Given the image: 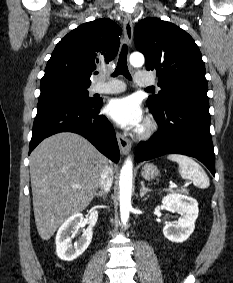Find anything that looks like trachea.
<instances>
[{"mask_svg": "<svg viewBox=\"0 0 233 283\" xmlns=\"http://www.w3.org/2000/svg\"><path fill=\"white\" fill-rule=\"evenodd\" d=\"M127 54H128V47L126 44L122 46V51L120 52L117 67L113 73V76H118L120 74L124 75L127 79L131 80V75L128 71L127 66ZM148 90H153L152 87H148Z\"/></svg>", "mask_w": 233, "mask_h": 283, "instance_id": "3493384b", "label": "trachea"}]
</instances>
